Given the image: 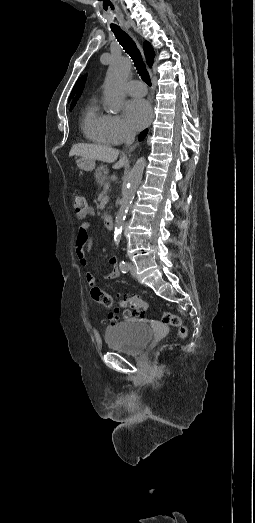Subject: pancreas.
Returning a JSON list of instances; mask_svg holds the SVG:
<instances>
[{"label":"pancreas","instance_id":"1","mask_svg":"<svg viewBox=\"0 0 255 523\" xmlns=\"http://www.w3.org/2000/svg\"><path fill=\"white\" fill-rule=\"evenodd\" d=\"M107 174V168H105V166H100V168H97V170H95V182H98V184H102L105 180H107Z\"/></svg>","mask_w":255,"mask_h":523}]
</instances>
